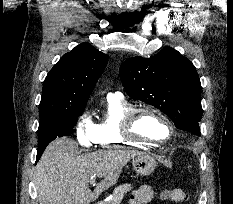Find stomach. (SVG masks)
Wrapping results in <instances>:
<instances>
[{
  "mask_svg": "<svg viewBox=\"0 0 233 204\" xmlns=\"http://www.w3.org/2000/svg\"><path fill=\"white\" fill-rule=\"evenodd\" d=\"M132 165L138 175H150L156 167V161L150 155L142 153L132 160Z\"/></svg>",
  "mask_w": 233,
  "mask_h": 204,
  "instance_id": "stomach-1",
  "label": "stomach"
}]
</instances>
